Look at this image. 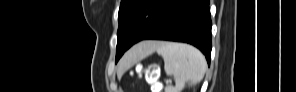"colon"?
Wrapping results in <instances>:
<instances>
[{
	"instance_id": "colon-1",
	"label": "colon",
	"mask_w": 296,
	"mask_h": 92,
	"mask_svg": "<svg viewBox=\"0 0 296 92\" xmlns=\"http://www.w3.org/2000/svg\"><path fill=\"white\" fill-rule=\"evenodd\" d=\"M140 71L145 75L149 82L155 83L158 79V67L151 65L146 68H141Z\"/></svg>"
}]
</instances>
